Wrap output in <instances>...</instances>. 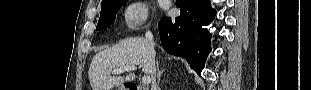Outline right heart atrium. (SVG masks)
<instances>
[{"label": "right heart atrium", "mask_w": 311, "mask_h": 90, "mask_svg": "<svg viewBox=\"0 0 311 90\" xmlns=\"http://www.w3.org/2000/svg\"><path fill=\"white\" fill-rule=\"evenodd\" d=\"M147 7L139 2L131 3L123 11V20L128 30H134L147 21Z\"/></svg>", "instance_id": "obj_1"}]
</instances>
